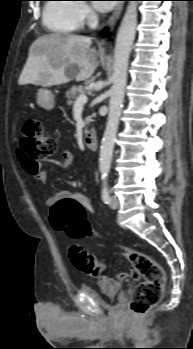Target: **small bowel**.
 <instances>
[{"label": "small bowel", "instance_id": "obj_1", "mask_svg": "<svg viewBox=\"0 0 193 349\" xmlns=\"http://www.w3.org/2000/svg\"><path fill=\"white\" fill-rule=\"evenodd\" d=\"M61 156H62L61 160L52 159V160H49V162L59 165L63 168H70L74 163V156L72 152L68 149H64L61 153ZM19 160L23 168L26 170L28 174H30L35 179L41 182H45V179H46L45 172L39 166L34 170L29 169L26 165L27 161L20 151H19ZM65 200L76 201L81 206H83V208L88 212H93V207H92L90 198L85 193H82L79 191H72L68 189L60 190L57 194L48 198L46 203L47 205H53L57 202H61ZM136 278H138V272L134 267H131L128 271L120 272L115 277L101 276L97 280V284L104 292L112 294L119 289V287L124 281L128 279H136Z\"/></svg>", "mask_w": 193, "mask_h": 349}]
</instances>
